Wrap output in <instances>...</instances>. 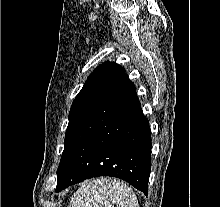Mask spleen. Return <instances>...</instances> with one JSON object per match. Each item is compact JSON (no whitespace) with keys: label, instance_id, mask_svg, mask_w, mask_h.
<instances>
[{"label":"spleen","instance_id":"obj_1","mask_svg":"<svg viewBox=\"0 0 220 207\" xmlns=\"http://www.w3.org/2000/svg\"><path fill=\"white\" fill-rule=\"evenodd\" d=\"M68 207H139V204L135 193L123 182L98 178L79 188Z\"/></svg>","mask_w":220,"mask_h":207}]
</instances>
